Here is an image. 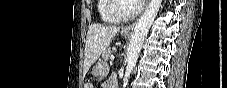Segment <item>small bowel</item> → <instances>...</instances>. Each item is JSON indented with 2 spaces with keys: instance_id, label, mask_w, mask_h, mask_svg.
Wrapping results in <instances>:
<instances>
[{
  "instance_id": "1",
  "label": "small bowel",
  "mask_w": 227,
  "mask_h": 88,
  "mask_svg": "<svg viewBox=\"0 0 227 88\" xmlns=\"http://www.w3.org/2000/svg\"><path fill=\"white\" fill-rule=\"evenodd\" d=\"M117 79V77L114 75V76H111L104 84V87L105 88H113V80Z\"/></svg>"
}]
</instances>
